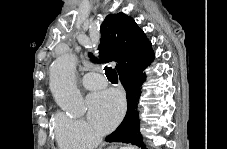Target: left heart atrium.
I'll return each mask as SVG.
<instances>
[{
  "mask_svg": "<svg viewBox=\"0 0 227 149\" xmlns=\"http://www.w3.org/2000/svg\"><path fill=\"white\" fill-rule=\"evenodd\" d=\"M87 105L90 121L100 132L110 131L124 112V98L115 90H105L90 95Z\"/></svg>",
  "mask_w": 227,
  "mask_h": 149,
  "instance_id": "left-heart-atrium-1",
  "label": "left heart atrium"
}]
</instances>
